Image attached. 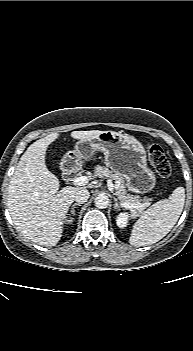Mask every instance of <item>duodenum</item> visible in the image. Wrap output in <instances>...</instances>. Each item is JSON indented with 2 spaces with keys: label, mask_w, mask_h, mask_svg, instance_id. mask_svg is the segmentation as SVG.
<instances>
[{
  "label": "duodenum",
  "mask_w": 193,
  "mask_h": 351,
  "mask_svg": "<svg viewBox=\"0 0 193 351\" xmlns=\"http://www.w3.org/2000/svg\"><path fill=\"white\" fill-rule=\"evenodd\" d=\"M80 174V165L72 157L65 158L63 162V176L67 181H72Z\"/></svg>",
  "instance_id": "1"
}]
</instances>
